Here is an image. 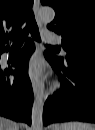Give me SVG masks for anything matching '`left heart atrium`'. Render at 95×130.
<instances>
[{
    "instance_id": "left-heart-atrium-1",
    "label": "left heart atrium",
    "mask_w": 95,
    "mask_h": 130,
    "mask_svg": "<svg viewBox=\"0 0 95 130\" xmlns=\"http://www.w3.org/2000/svg\"><path fill=\"white\" fill-rule=\"evenodd\" d=\"M27 69H28V73L32 77H34V78L38 77L42 72V65H41L39 58L36 56L33 57L29 61Z\"/></svg>"
}]
</instances>
